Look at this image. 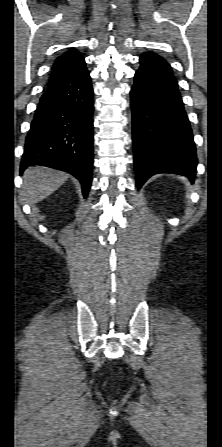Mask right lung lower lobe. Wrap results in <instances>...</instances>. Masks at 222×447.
<instances>
[{
    "mask_svg": "<svg viewBox=\"0 0 222 447\" xmlns=\"http://www.w3.org/2000/svg\"><path fill=\"white\" fill-rule=\"evenodd\" d=\"M93 88L83 60L49 85L34 114L25 141L21 172L44 165L75 176L87 197L93 168Z\"/></svg>",
    "mask_w": 222,
    "mask_h": 447,
    "instance_id": "98d812e1",
    "label": "right lung lower lobe"
}]
</instances>
